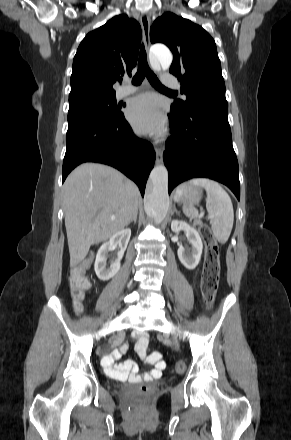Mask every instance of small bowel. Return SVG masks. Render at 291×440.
Returning <instances> with one entry per match:
<instances>
[{"label": "small bowel", "instance_id": "c3829d8e", "mask_svg": "<svg viewBox=\"0 0 291 440\" xmlns=\"http://www.w3.org/2000/svg\"><path fill=\"white\" fill-rule=\"evenodd\" d=\"M135 338L138 339L136 344V351L143 357L145 355V348L147 346L148 340L147 335L144 332H137ZM128 350L127 344H122L120 346V351L125 352ZM118 358V351L114 350L110 356L104 358L103 366L107 374L115 378H128L132 382H143L151 381L154 378H159L162 371L165 369L166 364L161 359H153L151 355L146 357V361L149 364L154 365L152 371L140 375L139 367L134 360H127L123 363L116 364V359ZM176 370L179 372L185 371V366L177 365Z\"/></svg>", "mask_w": 291, "mask_h": 440}]
</instances>
